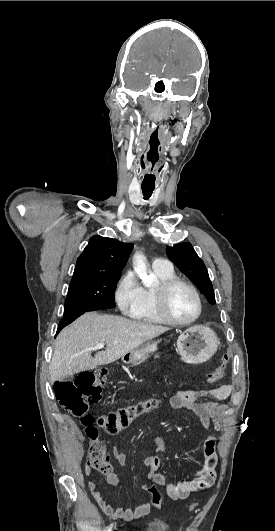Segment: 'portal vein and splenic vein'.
Segmentation results:
<instances>
[{
  "instance_id": "portal-vein-and-splenic-vein-1",
  "label": "portal vein and splenic vein",
  "mask_w": 275,
  "mask_h": 531,
  "mask_svg": "<svg viewBox=\"0 0 275 531\" xmlns=\"http://www.w3.org/2000/svg\"><path fill=\"white\" fill-rule=\"evenodd\" d=\"M105 343H98L96 347H92V349H86V351H97V349H104Z\"/></svg>"
}]
</instances>
